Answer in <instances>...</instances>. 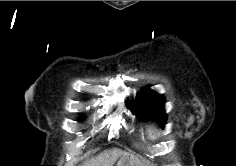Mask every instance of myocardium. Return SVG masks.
<instances>
[{
    "mask_svg": "<svg viewBox=\"0 0 236 166\" xmlns=\"http://www.w3.org/2000/svg\"><path fill=\"white\" fill-rule=\"evenodd\" d=\"M148 136L150 139H156L158 137V130L156 127L151 126L148 129Z\"/></svg>",
    "mask_w": 236,
    "mask_h": 166,
    "instance_id": "f54148a6",
    "label": "myocardium"
}]
</instances>
